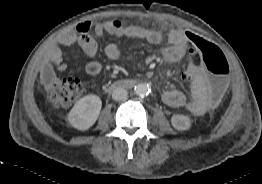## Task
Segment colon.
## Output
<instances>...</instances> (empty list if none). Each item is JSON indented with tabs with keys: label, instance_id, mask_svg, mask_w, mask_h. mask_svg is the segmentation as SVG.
I'll return each mask as SVG.
<instances>
[{
	"label": "colon",
	"instance_id": "colon-1",
	"mask_svg": "<svg viewBox=\"0 0 262 184\" xmlns=\"http://www.w3.org/2000/svg\"><path fill=\"white\" fill-rule=\"evenodd\" d=\"M111 25L122 28L120 21H113ZM194 46L197 51V58L209 76L207 78V88L210 105L218 107L225 95L228 87L229 64L221 49L204 40L203 38L194 39ZM83 86L77 78L56 79L50 86V101L54 107H67L74 103L82 94Z\"/></svg>",
	"mask_w": 262,
	"mask_h": 184
}]
</instances>
